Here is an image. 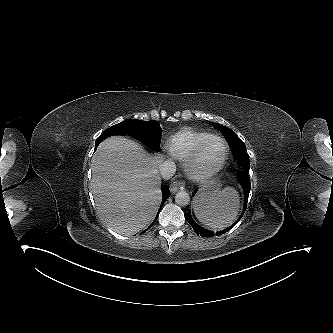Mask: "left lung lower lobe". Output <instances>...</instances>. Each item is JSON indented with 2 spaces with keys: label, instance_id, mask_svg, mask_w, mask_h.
Segmentation results:
<instances>
[{
  "label": "left lung lower lobe",
  "instance_id": "obj_1",
  "mask_svg": "<svg viewBox=\"0 0 333 333\" xmlns=\"http://www.w3.org/2000/svg\"><path fill=\"white\" fill-rule=\"evenodd\" d=\"M239 179V182L241 183L243 189H244V194H245V201H244V209H243V213L244 211L246 210V206H247V201H248V196H249V193H250V189H251V182H250V179L247 175V173L243 172L241 174L240 177H238ZM197 190H195L193 192V195L196 193ZM242 213V214H243ZM185 219L187 220V222L193 227L195 233L197 235H201L202 237H212L214 236V232H211V231H208L200 226H198L194 221L193 219L191 218V214H190V211H188L186 214H185ZM241 219V217L230 227L226 228L225 230L223 231H220V232H217L216 235H221L225 232H227L228 230H230L231 228H233L237 222Z\"/></svg>",
  "mask_w": 333,
  "mask_h": 333
}]
</instances>
